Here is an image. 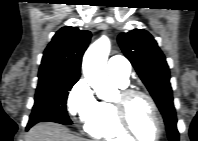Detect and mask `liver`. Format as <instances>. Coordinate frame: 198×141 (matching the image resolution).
<instances>
[{"label":"liver","mask_w":198,"mask_h":141,"mask_svg":"<svg viewBox=\"0 0 198 141\" xmlns=\"http://www.w3.org/2000/svg\"><path fill=\"white\" fill-rule=\"evenodd\" d=\"M27 141H88L75 136L70 131L56 123H39L32 127L27 134Z\"/></svg>","instance_id":"1"}]
</instances>
